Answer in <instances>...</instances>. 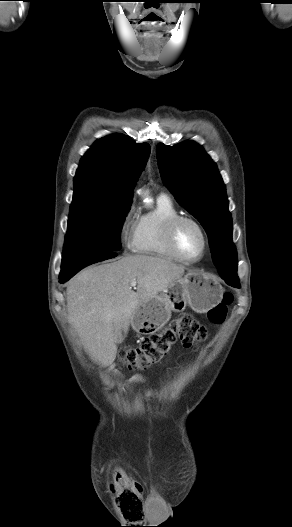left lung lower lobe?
I'll return each instance as SVG.
<instances>
[{"instance_id":"obj_1","label":"left lung lower lobe","mask_w":292,"mask_h":527,"mask_svg":"<svg viewBox=\"0 0 292 527\" xmlns=\"http://www.w3.org/2000/svg\"><path fill=\"white\" fill-rule=\"evenodd\" d=\"M219 274L225 282L235 288H240L239 285V277L237 276V273L233 272H226V271H219Z\"/></svg>"}]
</instances>
